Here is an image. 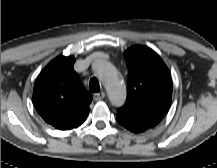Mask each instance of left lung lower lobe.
Listing matches in <instances>:
<instances>
[{
  "mask_svg": "<svg viewBox=\"0 0 217 168\" xmlns=\"http://www.w3.org/2000/svg\"><path fill=\"white\" fill-rule=\"evenodd\" d=\"M119 124H120V123H119ZM121 125H122L123 127H125L126 129L132 131V132L135 131L132 127H130V126H128V125H124V124H121ZM134 133H136V132H134Z\"/></svg>",
  "mask_w": 217,
  "mask_h": 168,
  "instance_id": "obj_1",
  "label": "left lung lower lobe"
}]
</instances>
